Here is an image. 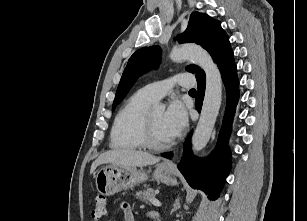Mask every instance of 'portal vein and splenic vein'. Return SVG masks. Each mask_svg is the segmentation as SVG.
I'll return each mask as SVG.
<instances>
[{"label": "portal vein and splenic vein", "mask_w": 307, "mask_h": 221, "mask_svg": "<svg viewBox=\"0 0 307 221\" xmlns=\"http://www.w3.org/2000/svg\"><path fill=\"white\" fill-rule=\"evenodd\" d=\"M150 202L154 205V206H157V207H160L161 206V203L159 200L155 199V198H151L150 199Z\"/></svg>", "instance_id": "18ae733b"}]
</instances>
